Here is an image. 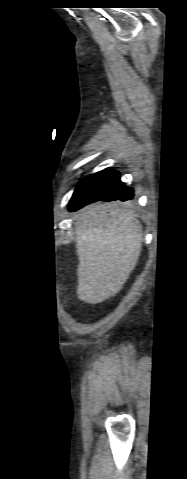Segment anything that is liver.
<instances>
[{
  "label": "liver",
  "mask_w": 187,
  "mask_h": 479,
  "mask_svg": "<svg viewBox=\"0 0 187 479\" xmlns=\"http://www.w3.org/2000/svg\"><path fill=\"white\" fill-rule=\"evenodd\" d=\"M142 241V225L127 204L82 209L75 221L78 298L97 304L115 296L138 262Z\"/></svg>",
  "instance_id": "obj_1"
}]
</instances>
